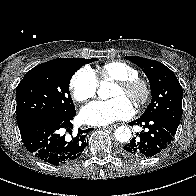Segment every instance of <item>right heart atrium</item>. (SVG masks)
Here are the masks:
<instances>
[{
    "mask_svg": "<svg viewBox=\"0 0 196 196\" xmlns=\"http://www.w3.org/2000/svg\"><path fill=\"white\" fill-rule=\"evenodd\" d=\"M98 79L88 67L79 69L71 78L70 89L74 100L85 102L92 99L97 92Z\"/></svg>",
    "mask_w": 196,
    "mask_h": 196,
    "instance_id": "d8ad5b80",
    "label": "right heart atrium"
}]
</instances>
